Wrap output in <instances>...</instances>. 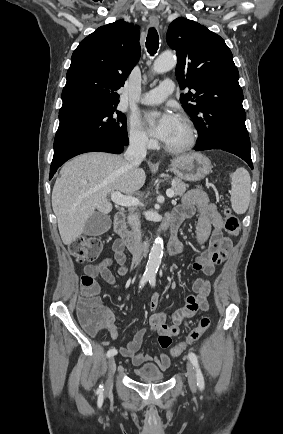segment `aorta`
Instances as JSON below:
<instances>
[{"instance_id": "762f6f07", "label": "aorta", "mask_w": 283, "mask_h": 434, "mask_svg": "<svg viewBox=\"0 0 283 434\" xmlns=\"http://www.w3.org/2000/svg\"><path fill=\"white\" fill-rule=\"evenodd\" d=\"M177 59L176 56L169 53H164L160 55L153 64V71L155 73H164L176 66ZM163 240L157 237L153 243L151 251L149 253V259L146 265L145 274L149 277H154L158 271L161 264V259L163 256Z\"/></svg>"}]
</instances>
